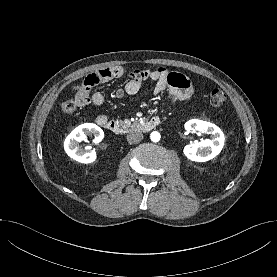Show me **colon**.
<instances>
[{
    "instance_id": "5ec220e1",
    "label": "colon",
    "mask_w": 277,
    "mask_h": 277,
    "mask_svg": "<svg viewBox=\"0 0 277 277\" xmlns=\"http://www.w3.org/2000/svg\"><path fill=\"white\" fill-rule=\"evenodd\" d=\"M209 101L214 107H223L227 102L226 94L220 89H214L209 96ZM61 111L64 114H72L77 108V102L65 100L60 104Z\"/></svg>"
}]
</instances>
